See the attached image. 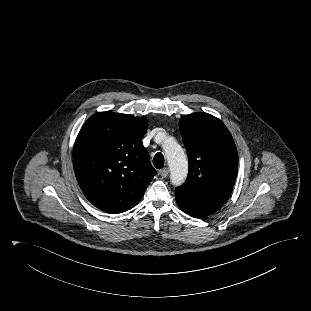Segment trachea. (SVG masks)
Returning a JSON list of instances; mask_svg holds the SVG:
<instances>
[{"instance_id": "trachea-1", "label": "trachea", "mask_w": 311, "mask_h": 311, "mask_svg": "<svg viewBox=\"0 0 311 311\" xmlns=\"http://www.w3.org/2000/svg\"><path fill=\"white\" fill-rule=\"evenodd\" d=\"M153 164L155 166V168L157 169H161L164 166V156L162 153L158 152L155 154L154 158H153Z\"/></svg>"}]
</instances>
